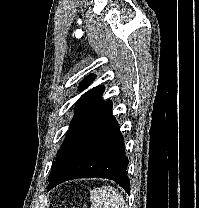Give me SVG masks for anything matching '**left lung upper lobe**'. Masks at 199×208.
Wrapping results in <instances>:
<instances>
[{"mask_svg":"<svg viewBox=\"0 0 199 208\" xmlns=\"http://www.w3.org/2000/svg\"><path fill=\"white\" fill-rule=\"evenodd\" d=\"M94 78L95 75H89L88 77H86L80 85V90H83L85 87H87L94 80ZM103 92V86L95 87L90 91L86 92L76 102L75 116L70 123L69 130L66 135L67 138L85 119H87L92 113H94L99 107H101L105 103L104 100H101ZM54 164L55 162L52 164L50 176L53 172Z\"/></svg>","mask_w":199,"mask_h":208,"instance_id":"5c2ea615","label":"left lung upper lobe"}]
</instances>
